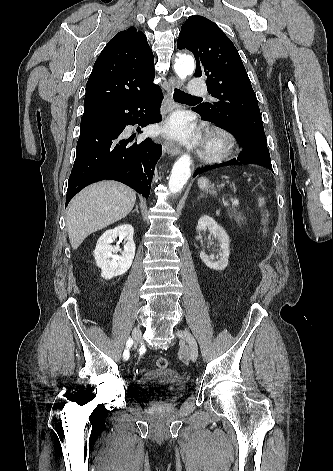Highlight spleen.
<instances>
[{"label":"spleen","mask_w":333,"mask_h":471,"mask_svg":"<svg viewBox=\"0 0 333 471\" xmlns=\"http://www.w3.org/2000/svg\"><path fill=\"white\" fill-rule=\"evenodd\" d=\"M258 201H259V205H260V206L264 204V198H261V197H260V198L258 199Z\"/></svg>","instance_id":"3e777b00"}]
</instances>
